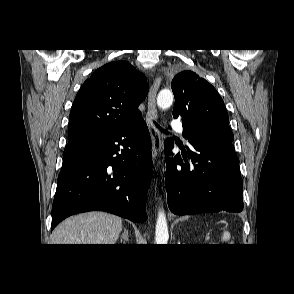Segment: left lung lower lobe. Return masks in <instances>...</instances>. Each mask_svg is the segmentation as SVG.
<instances>
[{
  "instance_id": "left-lung-lower-lobe-1",
  "label": "left lung lower lobe",
  "mask_w": 294,
  "mask_h": 294,
  "mask_svg": "<svg viewBox=\"0 0 294 294\" xmlns=\"http://www.w3.org/2000/svg\"><path fill=\"white\" fill-rule=\"evenodd\" d=\"M187 139L191 144L187 151L166 159L165 183L170 210L177 215L222 210L241 212L243 182L232 142ZM173 147V141L167 139L165 154H171Z\"/></svg>"
}]
</instances>
